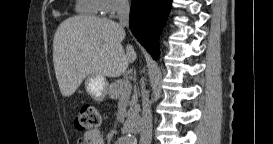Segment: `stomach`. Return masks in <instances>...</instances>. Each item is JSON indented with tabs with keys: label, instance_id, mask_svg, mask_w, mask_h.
I'll return each mask as SVG.
<instances>
[{
	"label": "stomach",
	"instance_id": "stomach-1",
	"mask_svg": "<svg viewBox=\"0 0 273 144\" xmlns=\"http://www.w3.org/2000/svg\"><path fill=\"white\" fill-rule=\"evenodd\" d=\"M86 92L96 101H104L107 96L108 83L101 74L89 75L85 79Z\"/></svg>",
	"mask_w": 273,
	"mask_h": 144
}]
</instances>
